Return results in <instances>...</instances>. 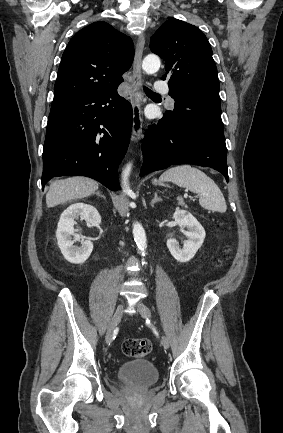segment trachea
<instances>
[{"label":"trachea","instance_id":"trachea-1","mask_svg":"<svg viewBox=\"0 0 283 433\" xmlns=\"http://www.w3.org/2000/svg\"><path fill=\"white\" fill-rule=\"evenodd\" d=\"M144 91L147 95H159V93H155L147 87H144Z\"/></svg>","mask_w":283,"mask_h":433}]
</instances>
